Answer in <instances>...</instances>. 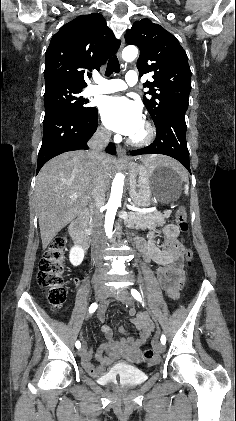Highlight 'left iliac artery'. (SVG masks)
<instances>
[{
	"mask_svg": "<svg viewBox=\"0 0 236 421\" xmlns=\"http://www.w3.org/2000/svg\"><path fill=\"white\" fill-rule=\"evenodd\" d=\"M131 294L134 297V299H136L139 302H142L141 295H140V293L136 289H131ZM160 340H161V343L163 345H165V343H166V337L164 335L161 336V339Z\"/></svg>",
	"mask_w": 236,
	"mask_h": 421,
	"instance_id": "obj_1",
	"label": "left iliac artery"
}]
</instances>
